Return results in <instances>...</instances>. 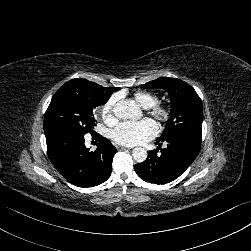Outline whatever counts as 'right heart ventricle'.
Returning a JSON list of instances; mask_svg holds the SVG:
<instances>
[{"mask_svg": "<svg viewBox=\"0 0 251 251\" xmlns=\"http://www.w3.org/2000/svg\"><path fill=\"white\" fill-rule=\"evenodd\" d=\"M133 100L141 107L149 109L158 103V96L148 91H136L133 93Z\"/></svg>", "mask_w": 251, "mask_h": 251, "instance_id": "e07e8e85", "label": "right heart ventricle"}]
</instances>
